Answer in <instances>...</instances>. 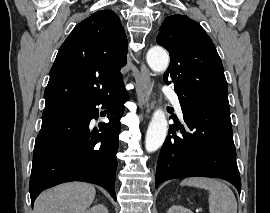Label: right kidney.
<instances>
[{
	"label": "right kidney",
	"mask_w": 270,
	"mask_h": 213,
	"mask_svg": "<svg viewBox=\"0 0 270 213\" xmlns=\"http://www.w3.org/2000/svg\"><path fill=\"white\" fill-rule=\"evenodd\" d=\"M83 213H108V210L104 205L98 204Z\"/></svg>",
	"instance_id": "1"
}]
</instances>
